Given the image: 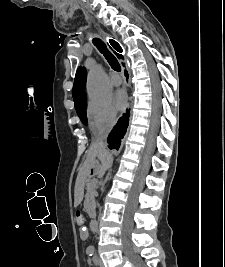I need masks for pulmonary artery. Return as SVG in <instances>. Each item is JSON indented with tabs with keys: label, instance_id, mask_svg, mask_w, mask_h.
<instances>
[{
	"label": "pulmonary artery",
	"instance_id": "1",
	"mask_svg": "<svg viewBox=\"0 0 225 267\" xmlns=\"http://www.w3.org/2000/svg\"><path fill=\"white\" fill-rule=\"evenodd\" d=\"M111 83L114 86H119L122 83V78L120 75L113 73L111 76Z\"/></svg>",
	"mask_w": 225,
	"mask_h": 267
}]
</instances>
